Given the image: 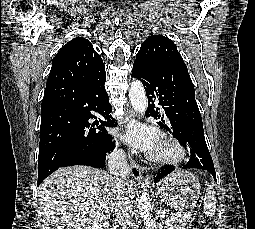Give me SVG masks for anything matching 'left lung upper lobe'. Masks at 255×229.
I'll return each mask as SVG.
<instances>
[{"mask_svg":"<svg viewBox=\"0 0 255 229\" xmlns=\"http://www.w3.org/2000/svg\"><path fill=\"white\" fill-rule=\"evenodd\" d=\"M135 62L144 66H173L188 73L174 42L162 35L148 37L141 45Z\"/></svg>","mask_w":255,"mask_h":229,"instance_id":"1","label":"left lung upper lobe"}]
</instances>
